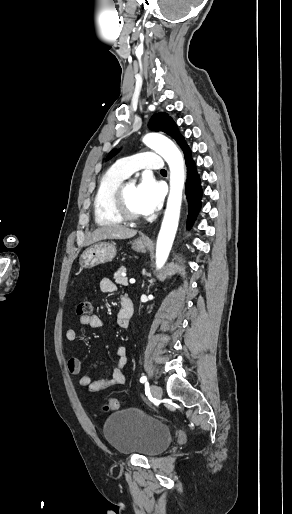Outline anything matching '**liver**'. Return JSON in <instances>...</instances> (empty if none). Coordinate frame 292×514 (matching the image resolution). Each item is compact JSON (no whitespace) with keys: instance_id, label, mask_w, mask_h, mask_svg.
<instances>
[{"instance_id":"1","label":"liver","mask_w":292,"mask_h":514,"mask_svg":"<svg viewBox=\"0 0 292 514\" xmlns=\"http://www.w3.org/2000/svg\"><path fill=\"white\" fill-rule=\"evenodd\" d=\"M136 234L137 230H130V228L118 226V224L116 226H101V228L94 230L88 238L86 246L100 242V240H126V238H133Z\"/></svg>"}]
</instances>
